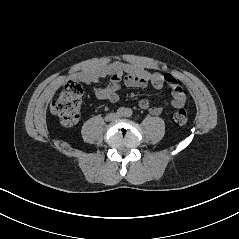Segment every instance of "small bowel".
Instances as JSON below:
<instances>
[{
	"mask_svg": "<svg viewBox=\"0 0 239 239\" xmlns=\"http://www.w3.org/2000/svg\"><path fill=\"white\" fill-rule=\"evenodd\" d=\"M105 76L110 77L109 83L104 87L95 89V96L99 100L111 103L117 102L119 100L118 91L122 84L136 88H142L150 84L157 90L164 86L171 88L172 99L170 104L173 108L179 109L185 105L186 95L172 74L149 72L139 64L116 61L98 69H83L75 74L77 79L87 83H94L100 77ZM138 105L142 110H146L154 116L160 115L163 111L162 106L152 105L147 99H141Z\"/></svg>",
	"mask_w": 239,
	"mask_h": 239,
	"instance_id": "c3829d8e",
	"label": "small bowel"
}]
</instances>
